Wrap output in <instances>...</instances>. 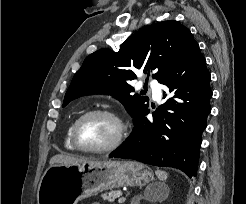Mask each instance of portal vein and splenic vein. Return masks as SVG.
I'll use <instances>...</instances> for the list:
<instances>
[{"mask_svg":"<svg viewBox=\"0 0 246 204\" xmlns=\"http://www.w3.org/2000/svg\"><path fill=\"white\" fill-rule=\"evenodd\" d=\"M125 200H126L125 197H121V198H119L118 203H123V202H125Z\"/></svg>","mask_w":246,"mask_h":204,"instance_id":"obj_1","label":"portal vein and splenic vein"}]
</instances>
